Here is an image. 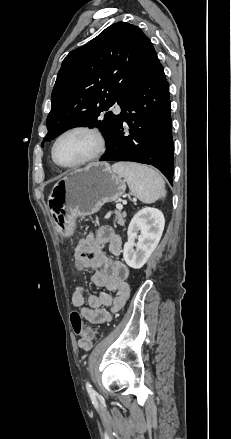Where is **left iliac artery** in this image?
<instances>
[{
	"label": "left iliac artery",
	"instance_id": "obj_1",
	"mask_svg": "<svg viewBox=\"0 0 231 439\" xmlns=\"http://www.w3.org/2000/svg\"><path fill=\"white\" fill-rule=\"evenodd\" d=\"M86 389L91 399L96 397V392L88 381L86 382Z\"/></svg>",
	"mask_w": 231,
	"mask_h": 439
}]
</instances>
